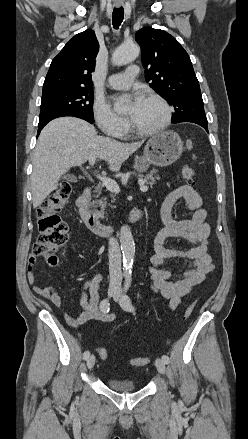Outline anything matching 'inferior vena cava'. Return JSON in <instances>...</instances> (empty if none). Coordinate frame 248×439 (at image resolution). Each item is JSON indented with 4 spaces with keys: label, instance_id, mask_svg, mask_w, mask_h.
<instances>
[{
    "label": "inferior vena cava",
    "instance_id": "inferior-vena-cava-1",
    "mask_svg": "<svg viewBox=\"0 0 248 439\" xmlns=\"http://www.w3.org/2000/svg\"><path fill=\"white\" fill-rule=\"evenodd\" d=\"M108 258H109V272L110 283L121 286L122 272H121V252L117 239H109Z\"/></svg>",
    "mask_w": 248,
    "mask_h": 439
}]
</instances>
